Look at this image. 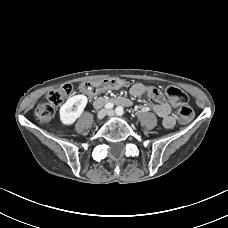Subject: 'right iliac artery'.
Masks as SVG:
<instances>
[{"instance_id":"82829eb1","label":"right iliac artery","mask_w":228,"mask_h":228,"mask_svg":"<svg viewBox=\"0 0 228 228\" xmlns=\"http://www.w3.org/2000/svg\"><path fill=\"white\" fill-rule=\"evenodd\" d=\"M113 106H114V104L111 103V102H109V103H107V104L105 105V108H106V109H111V108H113Z\"/></svg>"}]
</instances>
